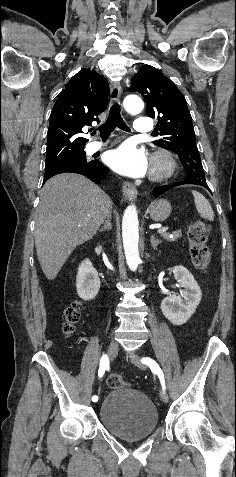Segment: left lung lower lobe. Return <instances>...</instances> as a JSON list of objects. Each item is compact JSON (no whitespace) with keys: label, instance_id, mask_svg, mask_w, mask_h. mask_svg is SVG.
Returning <instances> with one entry per match:
<instances>
[{"label":"left lung lower lobe","instance_id":"1","mask_svg":"<svg viewBox=\"0 0 236 477\" xmlns=\"http://www.w3.org/2000/svg\"><path fill=\"white\" fill-rule=\"evenodd\" d=\"M184 184H194V183H190L188 181H183V182H177L173 185H163V186H159V187H156L154 190H153V195L157 198L159 197L161 194H163L164 192L170 190L171 188L175 187V186H179V185H184ZM196 185H200V186H203L205 187L206 189H209L207 183H201V184H196Z\"/></svg>","mask_w":236,"mask_h":477}]
</instances>
